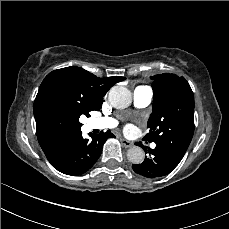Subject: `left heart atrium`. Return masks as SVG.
Listing matches in <instances>:
<instances>
[{
    "label": "left heart atrium",
    "instance_id": "1",
    "mask_svg": "<svg viewBox=\"0 0 229 229\" xmlns=\"http://www.w3.org/2000/svg\"><path fill=\"white\" fill-rule=\"evenodd\" d=\"M126 128H127L128 130H131V129H133V126H132V125H128Z\"/></svg>",
    "mask_w": 229,
    "mask_h": 229
}]
</instances>
